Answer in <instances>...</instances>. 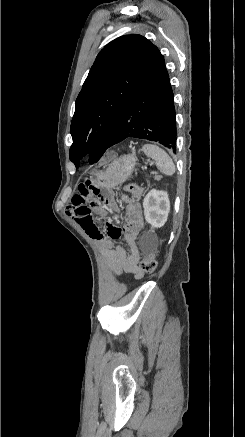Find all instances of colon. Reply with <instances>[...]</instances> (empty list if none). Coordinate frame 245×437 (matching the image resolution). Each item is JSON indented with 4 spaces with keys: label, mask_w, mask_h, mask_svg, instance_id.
Returning a JSON list of instances; mask_svg holds the SVG:
<instances>
[{
    "label": "colon",
    "mask_w": 245,
    "mask_h": 437,
    "mask_svg": "<svg viewBox=\"0 0 245 437\" xmlns=\"http://www.w3.org/2000/svg\"><path fill=\"white\" fill-rule=\"evenodd\" d=\"M142 194V188L136 184H130L125 188V197L131 196L134 199H138ZM157 250L150 251L140 263V269L142 272L150 274L157 268L156 260Z\"/></svg>",
    "instance_id": "1"
}]
</instances>
